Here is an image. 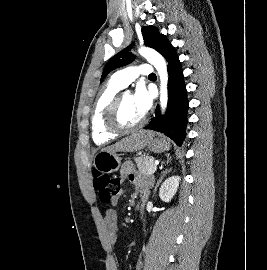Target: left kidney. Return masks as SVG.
I'll list each match as a JSON object with an SVG mask.
<instances>
[{"instance_id":"1","label":"left kidney","mask_w":267,"mask_h":270,"mask_svg":"<svg viewBox=\"0 0 267 270\" xmlns=\"http://www.w3.org/2000/svg\"><path fill=\"white\" fill-rule=\"evenodd\" d=\"M180 182L179 176H171L160 187L159 197L164 202H169L177 192Z\"/></svg>"}]
</instances>
